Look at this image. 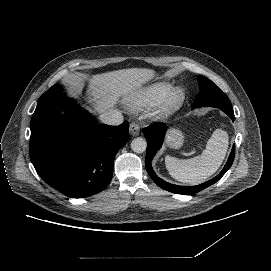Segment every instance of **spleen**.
Masks as SVG:
<instances>
[{
	"label": "spleen",
	"mask_w": 271,
	"mask_h": 271,
	"mask_svg": "<svg viewBox=\"0 0 271 271\" xmlns=\"http://www.w3.org/2000/svg\"><path fill=\"white\" fill-rule=\"evenodd\" d=\"M228 144V134L216 129L201 155L190 159H178L168 155L165 157L166 169L179 182L191 185L202 183L219 169L226 156Z\"/></svg>",
	"instance_id": "obj_1"
}]
</instances>
